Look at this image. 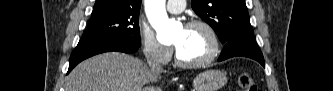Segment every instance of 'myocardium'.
Wrapping results in <instances>:
<instances>
[{
	"label": "myocardium",
	"mask_w": 333,
	"mask_h": 91,
	"mask_svg": "<svg viewBox=\"0 0 333 91\" xmlns=\"http://www.w3.org/2000/svg\"><path fill=\"white\" fill-rule=\"evenodd\" d=\"M186 28L201 27L203 28L211 40V50L208 56L198 61H186L181 58L177 48H175V62L178 66L184 68H200L213 62L220 53V41L215 29L206 21L194 19L186 23Z\"/></svg>",
	"instance_id": "1"
}]
</instances>
